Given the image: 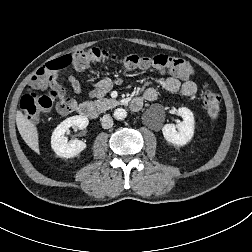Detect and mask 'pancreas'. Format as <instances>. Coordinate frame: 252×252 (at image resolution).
<instances>
[{"label":"pancreas","instance_id":"1","mask_svg":"<svg viewBox=\"0 0 252 252\" xmlns=\"http://www.w3.org/2000/svg\"><path fill=\"white\" fill-rule=\"evenodd\" d=\"M119 104L120 103L117 100L107 98L98 99L94 102V105L96 106V108L100 113H103L108 109H112Z\"/></svg>","mask_w":252,"mask_h":252}]
</instances>
